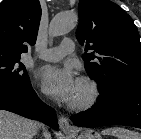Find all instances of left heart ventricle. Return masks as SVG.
Returning <instances> with one entry per match:
<instances>
[{
  "label": "left heart ventricle",
  "instance_id": "left-heart-ventricle-1",
  "mask_svg": "<svg viewBox=\"0 0 141 139\" xmlns=\"http://www.w3.org/2000/svg\"><path fill=\"white\" fill-rule=\"evenodd\" d=\"M85 94H86L85 88L77 83L76 91H75L74 97L71 102L82 100Z\"/></svg>",
  "mask_w": 141,
  "mask_h": 139
}]
</instances>
